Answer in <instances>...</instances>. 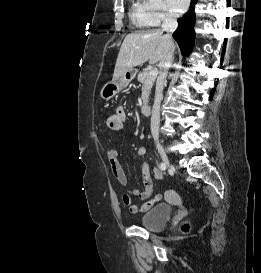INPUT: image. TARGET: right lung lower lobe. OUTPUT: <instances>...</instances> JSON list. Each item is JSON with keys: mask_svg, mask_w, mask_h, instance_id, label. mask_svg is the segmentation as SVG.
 I'll return each mask as SVG.
<instances>
[{"mask_svg": "<svg viewBox=\"0 0 261 273\" xmlns=\"http://www.w3.org/2000/svg\"><path fill=\"white\" fill-rule=\"evenodd\" d=\"M197 0H191V6L185 15L178 19V28L173 33V38L178 43L181 52L184 56L189 55L192 50L195 33H194V21L195 13L194 6Z\"/></svg>", "mask_w": 261, "mask_h": 273, "instance_id": "obj_1", "label": "right lung lower lobe"}]
</instances>
